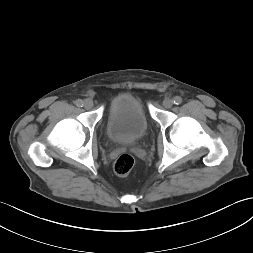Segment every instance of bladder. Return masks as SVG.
Listing matches in <instances>:
<instances>
[{
    "label": "bladder",
    "mask_w": 253,
    "mask_h": 253,
    "mask_svg": "<svg viewBox=\"0 0 253 253\" xmlns=\"http://www.w3.org/2000/svg\"><path fill=\"white\" fill-rule=\"evenodd\" d=\"M148 120L141 101L129 93L115 96L108 107L106 132L115 144L130 145L147 133Z\"/></svg>",
    "instance_id": "bladder-1"
}]
</instances>
